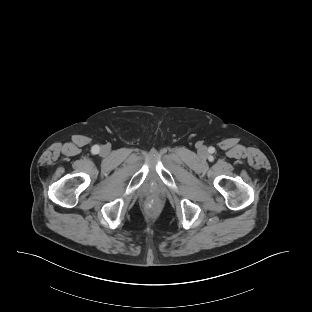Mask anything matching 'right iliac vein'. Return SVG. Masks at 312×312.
I'll use <instances>...</instances> for the list:
<instances>
[{"label": "right iliac vein", "instance_id": "63e3f726", "mask_svg": "<svg viewBox=\"0 0 312 312\" xmlns=\"http://www.w3.org/2000/svg\"><path fill=\"white\" fill-rule=\"evenodd\" d=\"M102 151H103V152H106V151H107V148H106V147H103V148H102Z\"/></svg>", "mask_w": 312, "mask_h": 312}]
</instances>
